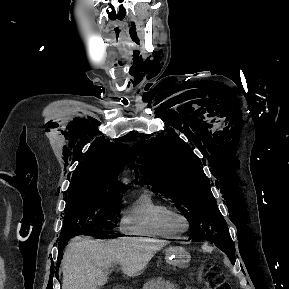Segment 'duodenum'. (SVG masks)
I'll list each match as a JSON object with an SVG mask.
<instances>
[{"label": "duodenum", "instance_id": "1", "mask_svg": "<svg viewBox=\"0 0 289 289\" xmlns=\"http://www.w3.org/2000/svg\"><path fill=\"white\" fill-rule=\"evenodd\" d=\"M114 289H120V288L116 287V288H114Z\"/></svg>", "mask_w": 289, "mask_h": 289}]
</instances>
